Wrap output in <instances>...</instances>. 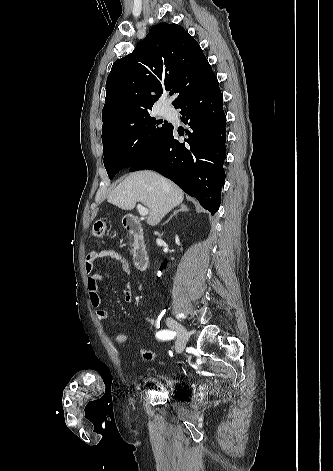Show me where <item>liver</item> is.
I'll return each instance as SVG.
<instances>
[{
	"label": "liver",
	"mask_w": 333,
	"mask_h": 471,
	"mask_svg": "<svg viewBox=\"0 0 333 471\" xmlns=\"http://www.w3.org/2000/svg\"><path fill=\"white\" fill-rule=\"evenodd\" d=\"M183 199L184 192L175 183L152 171L130 174L107 196L109 203L123 210L134 209L137 202L147 206L150 226L159 224Z\"/></svg>",
	"instance_id": "1"
}]
</instances>
